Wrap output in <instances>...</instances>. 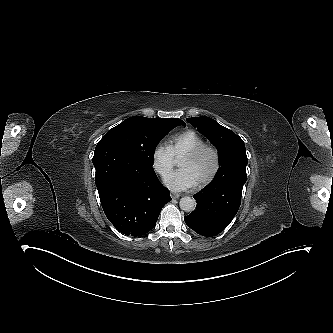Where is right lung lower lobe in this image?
I'll return each mask as SVG.
<instances>
[{"mask_svg":"<svg viewBox=\"0 0 333 333\" xmlns=\"http://www.w3.org/2000/svg\"><path fill=\"white\" fill-rule=\"evenodd\" d=\"M95 183L102 208L113 226L125 235L141 236L157 222L171 201L169 190L119 142L100 140L93 157Z\"/></svg>","mask_w":333,"mask_h":333,"instance_id":"98d812e1","label":"right lung lower lobe"}]
</instances>
